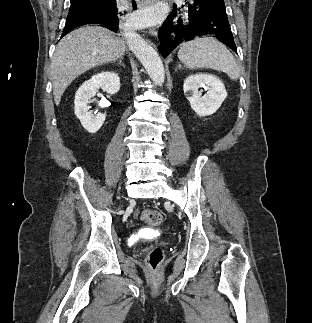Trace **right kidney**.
Here are the masks:
<instances>
[{"mask_svg":"<svg viewBox=\"0 0 312 323\" xmlns=\"http://www.w3.org/2000/svg\"><path fill=\"white\" fill-rule=\"evenodd\" d=\"M98 88H102L107 94H117L120 90V80L118 74L114 72H101L92 76L91 80L84 82L80 88H78L75 94V110L74 114L79 118L83 128L89 132V134H96L100 130L102 124L105 122V114H93L89 112L90 102L96 96Z\"/></svg>","mask_w":312,"mask_h":323,"instance_id":"ca27d5eb","label":"right kidney"}]
</instances>
